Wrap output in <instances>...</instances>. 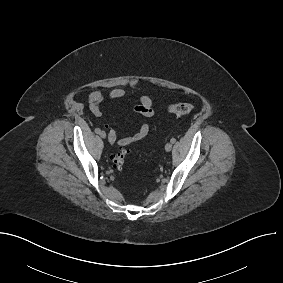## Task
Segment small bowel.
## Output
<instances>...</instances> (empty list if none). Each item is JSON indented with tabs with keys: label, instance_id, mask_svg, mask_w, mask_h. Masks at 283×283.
<instances>
[{
	"label": "small bowel",
	"instance_id": "obj_1",
	"mask_svg": "<svg viewBox=\"0 0 283 283\" xmlns=\"http://www.w3.org/2000/svg\"><path fill=\"white\" fill-rule=\"evenodd\" d=\"M125 94L126 93L124 89L115 87L108 92V97L111 100H117L123 98ZM104 99L105 94L101 91H93L89 94L88 103L90 111L94 116L100 117L102 115L100 105ZM134 111L144 117H152L155 113L152 99L148 96H142L139 99L137 105L134 107ZM105 128L108 129L109 142L111 144L117 143L120 146H128L134 144L147 137L150 132L149 125L142 123L139 125L137 131L134 134L117 139L116 132L113 129H111L108 125H105Z\"/></svg>",
	"mask_w": 283,
	"mask_h": 283
}]
</instances>
